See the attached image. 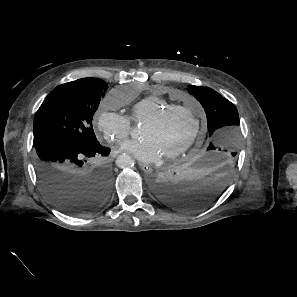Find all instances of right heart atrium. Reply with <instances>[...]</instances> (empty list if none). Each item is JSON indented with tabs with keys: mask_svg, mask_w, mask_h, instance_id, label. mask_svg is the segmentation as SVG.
Returning a JSON list of instances; mask_svg holds the SVG:
<instances>
[{
	"mask_svg": "<svg viewBox=\"0 0 297 297\" xmlns=\"http://www.w3.org/2000/svg\"><path fill=\"white\" fill-rule=\"evenodd\" d=\"M119 105L114 94H109L95 116L97 129L110 142H122L130 131V119L118 111Z\"/></svg>",
	"mask_w": 297,
	"mask_h": 297,
	"instance_id": "obj_1",
	"label": "right heart atrium"
}]
</instances>
